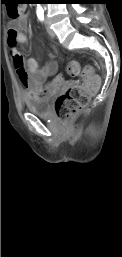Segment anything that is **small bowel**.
I'll use <instances>...</instances> for the list:
<instances>
[{
	"label": "small bowel",
	"mask_w": 122,
	"mask_h": 257,
	"mask_svg": "<svg viewBox=\"0 0 122 257\" xmlns=\"http://www.w3.org/2000/svg\"><path fill=\"white\" fill-rule=\"evenodd\" d=\"M28 29L27 14L23 12L17 19L9 23L7 32V42L10 48V57L12 63L15 64L14 73L18 74L19 82L28 91L26 98L38 96L37 89H46V94L53 93L55 90H47L45 82L56 73L58 65L55 61H49L45 65L40 66L35 59H29L24 52H19L17 44H27L28 38L26 31Z\"/></svg>",
	"instance_id": "c3829d8e"
}]
</instances>
